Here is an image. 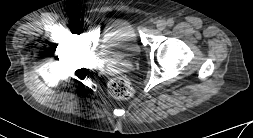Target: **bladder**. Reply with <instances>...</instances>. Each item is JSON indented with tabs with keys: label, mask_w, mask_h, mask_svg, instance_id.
Wrapping results in <instances>:
<instances>
[{
	"label": "bladder",
	"mask_w": 253,
	"mask_h": 138,
	"mask_svg": "<svg viewBox=\"0 0 253 138\" xmlns=\"http://www.w3.org/2000/svg\"><path fill=\"white\" fill-rule=\"evenodd\" d=\"M100 51L118 61H129L138 57L141 45L134 25L125 20L108 24L102 32Z\"/></svg>",
	"instance_id": "obj_1"
}]
</instances>
